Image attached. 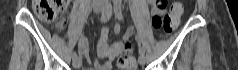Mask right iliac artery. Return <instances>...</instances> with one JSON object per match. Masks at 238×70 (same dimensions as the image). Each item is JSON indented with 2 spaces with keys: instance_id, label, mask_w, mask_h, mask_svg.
Segmentation results:
<instances>
[{
  "instance_id": "right-iliac-artery-1",
  "label": "right iliac artery",
  "mask_w": 238,
  "mask_h": 70,
  "mask_svg": "<svg viewBox=\"0 0 238 70\" xmlns=\"http://www.w3.org/2000/svg\"><path fill=\"white\" fill-rule=\"evenodd\" d=\"M111 15H112V7L109 6V7H107V8L102 12L100 21H101V22H107V21L110 19ZM72 57H73V58H76V57H77V53H76V52H73Z\"/></svg>"
}]
</instances>
